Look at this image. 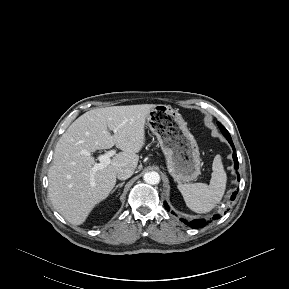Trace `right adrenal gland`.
<instances>
[{
	"label": "right adrenal gland",
	"instance_id": "obj_1",
	"mask_svg": "<svg viewBox=\"0 0 289 289\" xmlns=\"http://www.w3.org/2000/svg\"><path fill=\"white\" fill-rule=\"evenodd\" d=\"M124 184H125V182H122V183H120V184H117V185L115 186V188L111 191V193L115 192V190H116L117 188H121Z\"/></svg>",
	"mask_w": 289,
	"mask_h": 289
}]
</instances>
